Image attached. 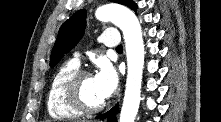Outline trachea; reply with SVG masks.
<instances>
[{
    "mask_svg": "<svg viewBox=\"0 0 221 122\" xmlns=\"http://www.w3.org/2000/svg\"><path fill=\"white\" fill-rule=\"evenodd\" d=\"M122 49H123L122 45H119V46L116 48V50H122Z\"/></svg>",
    "mask_w": 221,
    "mask_h": 122,
    "instance_id": "obj_1",
    "label": "trachea"
}]
</instances>
